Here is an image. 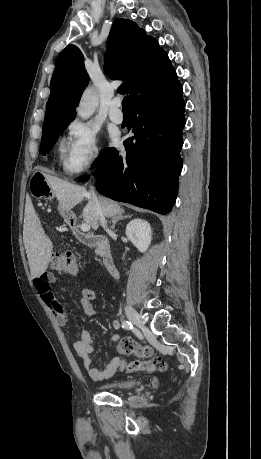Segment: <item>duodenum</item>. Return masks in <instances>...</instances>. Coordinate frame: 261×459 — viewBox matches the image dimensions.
Listing matches in <instances>:
<instances>
[{
  "label": "duodenum",
  "mask_w": 261,
  "mask_h": 459,
  "mask_svg": "<svg viewBox=\"0 0 261 459\" xmlns=\"http://www.w3.org/2000/svg\"><path fill=\"white\" fill-rule=\"evenodd\" d=\"M71 230L74 237L83 245L89 247H97L100 251L103 264L107 271L113 276L118 275V270L110 249L109 242L105 237L83 233L75 225H71Z\"/></svg>",
  "instance_id": "1"
}]
</instances>
